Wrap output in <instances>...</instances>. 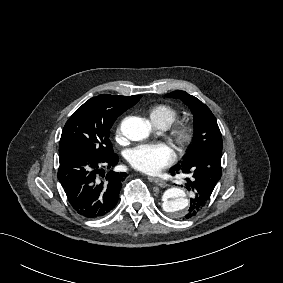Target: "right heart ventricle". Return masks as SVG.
I'll return each instance as SVG.
<instances>
[{
	"instance_id": "e07e8e85",
	"label": "right heart ventricle",
	"mask_w": 283,
	"mask_h": 283,
	"mask_svg": "<svg viewBox=\"0 0 283 283\" xmlns=\"http://www.w3.org/2000/svg\"><path fill=\"white\" fill-rule=\"evenodd\" d=\"M179 117V110L172 105L159 103L149 110V118L152 124L158 128L166 129Z\"/></svg>"
}]
</instances>
